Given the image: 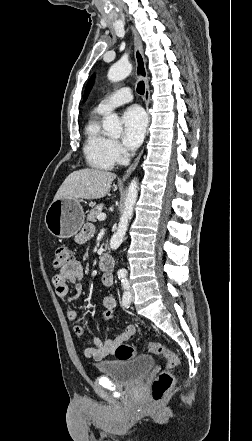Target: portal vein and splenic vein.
I'll list each match as a JSON object with an SVG mask.
<instances>
[{
    "mask_svg": "<svg viewBox=\"0 0 252 441\" xmlns=\"http://www.w3.org/2000/svg\"><path fill=\"white\" fill-rule=\"evenodd\" d=\"M97 219H98L99 221H104V220L106 219V214H105V213H100V214L97 216Z\"/></svg>",
    "mask_w": 252,
    "mask_h": 441,
    "instance_id": "18ae733b",
    "label": "portal vein and splenic vein"
}]
</instances>
